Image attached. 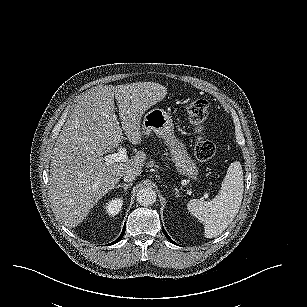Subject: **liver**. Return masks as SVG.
Instances as JSON below:
<instances>
[{
    "label": "liver",
    "mask_w": 307,
    "mask_h": 307,
    "mask_svg": "<svg viewBox=\"0 0 307 307\" xmlns=\"http://www.w3.org/2000/svg\"><path fill=\"white\" fill-rule=\"evenodd\" d=\"M166 93L161 84L134 82L96 86L79 96L55 142L48 178L52 211L65 225H78L125 172L141 174L142 152L128 162L109 165L102 156L123 140L139 143L140 116Z\"/></svg>",
    "instance_id": "liver-1"
}]
</instances>
